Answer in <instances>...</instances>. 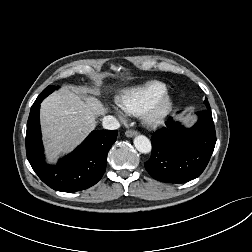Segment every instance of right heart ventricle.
Listing matches in <instances>:
<instances>
[{
	"instance_id": "right-heart-ventricle-1",
	"label": "right heart ventricle",
	"mask_w": 252,
	"mask_h": 252,
	"mask_svg": "<svg viewBox=\"0 0 252 252\" xmlns=\"http://www.w3.org/2000/svg\"><path fill=\"white\" fill-rule=\"evenodd\" d=\"M167 85L159 80H150L124 90L116 99L119 109L128 115L139 116L164 91Z\"/></svg>"
}]
</instances>
